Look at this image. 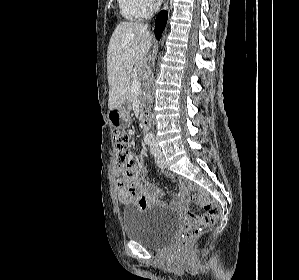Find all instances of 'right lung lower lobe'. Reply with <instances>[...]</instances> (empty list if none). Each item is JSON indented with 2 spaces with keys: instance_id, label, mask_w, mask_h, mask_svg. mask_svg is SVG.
<instances>
[{
  "instance_id": "right-lung-lower-lobe-1",
  "label": "right lung lower lobe",
  "mask_w": 299,
  "mask_h": 280,
  "mask_svg": "<svg viewBox=\"0 0 299 280\" xmlns=\"http://www.w3.org/2000/svg\"><path fill=\"white\" fill-rule=\"evenodd\" d=\"M168 18V13L166 11H162L159 13L158 17L155 21V36L159 40L161 37V34L166 26Z\"/></svg>"
}]
</instances>
